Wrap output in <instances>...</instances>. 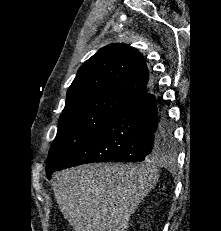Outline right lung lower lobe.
<instances>
[{"label":"right lung lower lobe","mask_w":221,"mask_h":231,"mask_svg":"<svg viewBox=\"0 0 221 231\" xmlns=\"http://www.w3.org/2000/svg\"><path fill=\"white\" fill-rule=\"evenodd\" d=\"M155 85V84H154ZM155 88L127 103L55 170L91 162H138L162 155L172 130Z\"/></svg>","instance_id":"1"}]
</instances>
